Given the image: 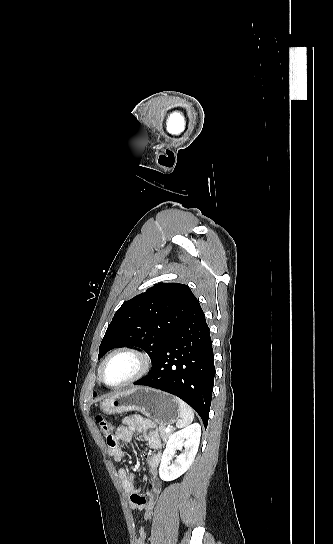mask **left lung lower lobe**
<instances>
[{
	"mask_svg": "<svg viewBox=\"0 0 333 544\" xmlns=\"http://www.w3.org/2000/svg\"><path fill=\"white\" fill-rule=\"evenodd\" d=\"M214 375L209 328L197 302L166 342L149 374L134 384L181 398L199 414L207 427Z\"/></svg>",
	"mask_w": 333,
	"mask_h": 544,
	"instance_id": "obj_1",
	"label": "left lung lower lobe"
}]
</instances>
